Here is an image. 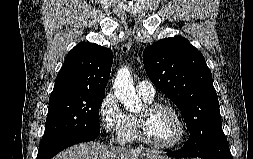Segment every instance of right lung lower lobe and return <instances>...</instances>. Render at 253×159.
I'll return each mask as SVG.
<instances>
[{
    "label": "right lung lower lobe",
    "instance_id": "1",
    "mask_svg": "<svg viewBox=\"0 0 253 159\" xmlns=\"http://www.w3.org/2000/svg\"><path fill=\"white\" fill-rule=\"evenodd\" d=\"M99 135V132H85V133H79L76 135H73L71 137L65 138L55 145H53L48 151L41 155H37V159H51L53 156H55L60 151L66 149L69 146H72L77 143L91 141L97 138Z\"/></svg>",
    "mask_w": 253,
    "mask_h": 159
}]
</instances>
